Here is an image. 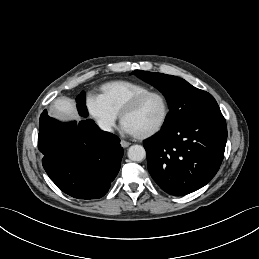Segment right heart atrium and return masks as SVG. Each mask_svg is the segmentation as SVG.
<instances>
[{"instance_id":"1","label":"right heart atrium","mask_w":259,"mask_h":259,"mask_svg":"<svg viewBox=\"0 0 259 259\" xmlns=\"http://www.w3.org/2000/svg\"><path fill=\"white\" fill-rule=\"evenodd\" d=\"M86 107L90 116L104 131H111L117 115L106 105L100 95L91 94L87 97Z\"/></svg>"}]
</instances>
